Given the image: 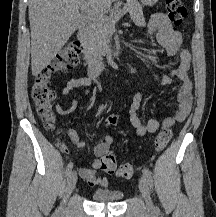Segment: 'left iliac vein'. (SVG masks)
<instances>
[{
	"label": "left iliac vein",
	"instance_id": "left-iliac-vein-1",
	"mask_svg": "<svg viewBox=\"0 0 216 217\" xmlns=\"http://www.w3.org/2000/svg\"><path fill=\"white\" fill-rule=\"evenodd\" d=\"M139 188H140L142 196L145 200L148 212L152 213L154 211V205H153L152 199L150 197L149 186H148V182H147L145 176H142L139 179Z\"/></svg>",
	"mask_w": 216,
	"mask_h": 217
}]
</instances>
